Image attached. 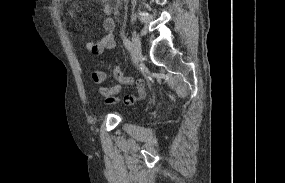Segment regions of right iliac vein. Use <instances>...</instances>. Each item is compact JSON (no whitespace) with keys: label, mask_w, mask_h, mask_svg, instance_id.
I'll return each mask as SVG.
<instances>
[{"label":"right iliac vein","mask_w":285,"mask_h":183,"mask_svg":"<svg viewBox=\"0 0 285 183\" xmlns=\"http://www.w3.org/2000/svg\"><path fill=\"white\" fill-rule=\"evenodd\" d=\"M132 41V62L135 66H137L142 55V48L139 35L136 32H133Z\"/></svg>","instance_id":"obj_1"}]
</instances>
